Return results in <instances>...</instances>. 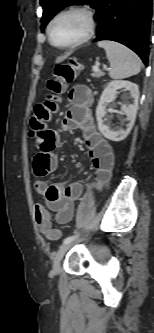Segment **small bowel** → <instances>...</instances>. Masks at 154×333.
<instances>
[{
	"instance_id": "small-bowel-1",
	"label": "small bowel",
	"mask_w": 154,
	"mask_h": 333,
	"mask_svg": "<svg viewBox=\"0 0 154 333\" xmlns=\"http://www.w3.org/2000/svg\"><path fill=\"white\" fill-rule=\"evenodd\" d=\"M71 107L67 111L63 127L78 129L83 133L91 163L95 169L92 187L101 188L111 177L114 153L109 142L97 131L90 106L93 102L91 90L85 85H75L68 93ZM37 153L33 159V171L37 180L34 190L42 195L47 208L55 213L57 223L65 224L72 220L75 203L81 198L84 186L81 182L48 184L42 178L52 173L58 165L55 153L59 136L51 128L45 127L35 135Z\"/></svg>"
}]
</instances>
